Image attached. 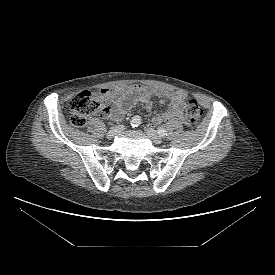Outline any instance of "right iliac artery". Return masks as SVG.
<instances>
[{"mask_svg": "<svg viewBox=\"0 0 275 275\" xmlns=\"http://www.w3.org/2000/svg\"><path fill=\"white\" fill-rule=\"evenodd\" d=\"M141 117L140 116H134L131 120V126L132 127H138L141 124Z\"/></svg>", "mask_w": 275, "mask_h": 275, "instance_id": "obj_1", "label": "right iliac artery"}]
</instances>
